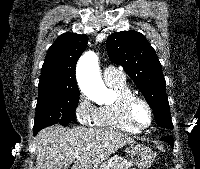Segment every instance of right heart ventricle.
<instances>
[{
    "mask_svg": "<svg viewBox=\"0 0 200 169\" xmlns=\"http://www.w3.org/2000/svg\"><path fill=\"white\" fill-rule=\"evenodd\" d=\"M106 83L114 91L116 97L111 103L104 104L96 109L93 123L100 127L129 133H139L140 131L134 129L125 118L124 101L127 97L134 94L125 78Z\"/></svg>",
    "mask_w": 200,
    "mask_h": 169,
    "instance_id": "right-heart-ventricle-1",
    "label": "right heart ventricle"
}]
</instances>
